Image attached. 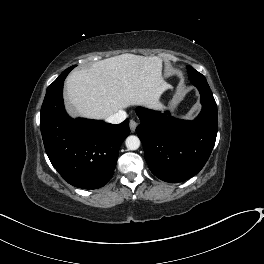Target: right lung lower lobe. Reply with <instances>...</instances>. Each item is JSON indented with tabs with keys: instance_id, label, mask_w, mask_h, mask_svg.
Returning <instances> with one entry per match:
<instances>
[{
	"instance_id": "1",
	"label": "right lung lower lobe",
	"mask_w": 264,
	"mask_h": 264,
	"mask_svg": "<svg viewBox=\"0 0 264 264\" xmlns=\"http://www.w3.org/2000/svg\"><path fill=\"white\" fill-rule=\"evenodd\" d=\"M66 76L47 89L40 113L46 153L69 184L83 189L103 187L113 176L129 120L113 125L101 120L72 119L63 104Z\"/></svg>"
}]
</instances>
